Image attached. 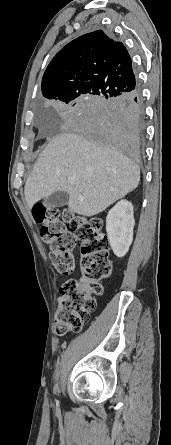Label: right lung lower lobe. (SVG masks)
I'll return each instance as SVG.
<instances>
[{"mask_svg": "<svg viewBox=\"0 0 171 445\" xmlns=\"http://www.w3.org/2000/svg\"><path fill=\"white\" fill-rule=\"evenodd\" d=\"M143 108L139 88L132 93L114 97L105 95L91 113L97 140L122 151L132 159H139V141Z\"/></svg>", "mask_w": 171, "mask_h": 445, "instance_id": "obj_1", "label": "right lung lower lobe"}]
</instances>
